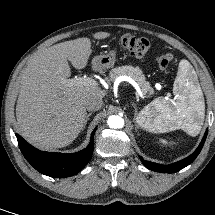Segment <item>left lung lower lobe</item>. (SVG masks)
I'll return each instance as SVG.
<instances>
[{
  "label": "left lung lower lobe",
  "instance_id": "left-lung-lower-lobe-1",
  "mask_svg": "<svg viewBox=\"0 0 215 215\" xmlns=\"http://www.w3.org/2000/svg\"><path fill=\"white\" fill-rule=\"evenodd\" d=\"M207 133H208V130L205 132V135H204L201 143L199 144L198 148L194 151V153H192L187 158L182 159L176 163H173L170 165H162V164L146 161L142 157H139V158H140L141 162L143 163V165L150 170H153L156 172H162V173H175V172L183 169L184 167L188 166L196 159V157L198 156V154L200 153V151L204 145Z\"/></svg>",
  "mask_w": 215,
  "mask_h": 215
}]
</instances>
